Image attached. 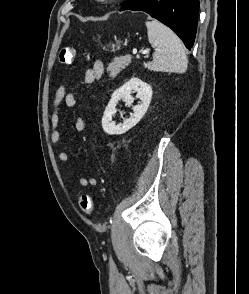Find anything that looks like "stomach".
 Here are the masks:
<instances>
[{"mask_svg":"<svg viewBox=\"0 0 249 294\" xmlns=\"http://www.w3.org/2000/svg\"><path fill=\"white\" fill-rule=\"evenodd\" d=\"M120 46V41H117L116 44H112V49H116V48H119Z\"/></svg>","mask_w":249,"mask_h":294,"instance_id":"stomach-1","label":"stomach"}]
</instances>
